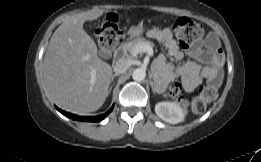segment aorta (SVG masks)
Instances as JSON below:
<instances>
[{"instance_id":"762f6f07","label":"aorta","mask_w":261,"mask_h":162,"mask_svg":"<svg viewBox=\"0 0 261 162\" xmlns=\"http://www.w3.org/2000/svg\"><path fill=\"white\" fill-rule=\"evenodd\" d=\"M146 77V71L142 68H137L133 71L132 78L135 81H143Z\"/></svg>"}]
</instances>
